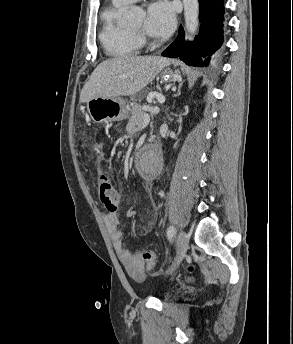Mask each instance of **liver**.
<instances>
[{
	"label": "liver",
	"mask_w": 293,
	"mask_h": 344,
	"mask_svg": "<svg viewBox=\"0 0 293 344\" xmlns=\"http://www.w3.org/2000/svg\"><path fill=\"white\" fill-rule=\"evenodd\" d=\"M171 60L160 56H119L100 63L81 90L80 102L93 98L133 96Z\"/></svg>",
	"instance_id": "1"
}]
</instances>
